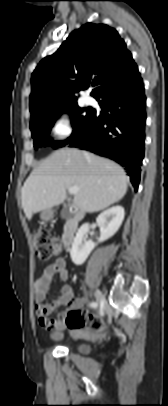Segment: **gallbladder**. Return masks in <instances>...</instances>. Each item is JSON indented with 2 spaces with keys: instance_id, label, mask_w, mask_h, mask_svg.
Here are the masks:
<instances>
[{
  "instance_id": "1",
  "label": "gallbladder",
  "mask_w": 168,
  "mask_h": 406,
  "mask_svg": "<svg viewBox=\"0 0 168 406\" xmlns=\"http://www.w3.org/2000/svg\"><path fill=\"white\" fill-rule=\"evenodd\" d=\"M71 216H72V213L69 211V207H68V206L62 209V211H61V217H62L63 219H68V218L71 217Z\"/></svg>"
}]
</instances>
